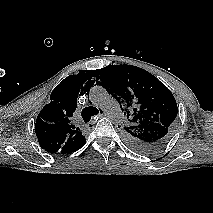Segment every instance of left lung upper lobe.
Wrapping results in <instances>:
<instances>
[{
    "instance_id": "obj_1",
    "label": "left lung upper lobe",
    "mask_w": 213,
    "mask_h": 213,
    "mask_svg": "<svg viewBox=\"0 0 213 213\" xmlns=\"http://www.w3.org/2000/svg\"><path fill=\"white\" fill-rule=\"evenodd\" d=\"M99 85L114 96L127 113L121 129L132 149L149 153L168 143L176 129L177 103L155 76L133 65H108L97 70ZM120 128V127H119Z\"/></svg>"
}]
</instances>
